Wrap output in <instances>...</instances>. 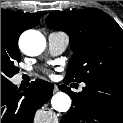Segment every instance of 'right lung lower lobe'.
<instances>
[{
  "instance_id": "right-lung-lower-lobe-1",
  "label": "right lung lower lobe",
  "mask_w": 123,
  "mask_h": 123,
  "mask_svg": "<svg viewBox=\"0 0 123 123\" xmlns=\"http://www.w3.org/2000/svg\"><path fill=\"white\" fill-rule=\"evenodd\" d=\"M53 87L41 79L23 91L10 81L1 83V123H32L36 110L51 98Z\"/></svg>"
}]
</instances>
